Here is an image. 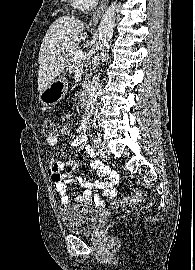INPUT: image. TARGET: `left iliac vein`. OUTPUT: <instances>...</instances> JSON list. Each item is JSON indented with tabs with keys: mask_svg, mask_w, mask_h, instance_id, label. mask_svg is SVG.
Masks as SVG:
<instances>
[{
	"mask_svg": "<svg viewBox=\"0 0 195 270\" xmlns=\"http://www.w3.org/2000/svg\"><path fill=\"white\" fill-rule=\"evenodd\" d=\"M98 150L100 153V156L104 159H108L110 157V152L107 147H105L103 144L98 143Z\"/></svg>",
	"mask_w": 195,
	"mask_h": 270,
	"instance_id": "4c4485c4",
	"label": "left iliac vein"
}]
</instances>
